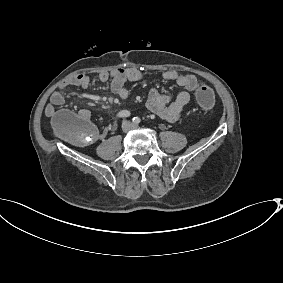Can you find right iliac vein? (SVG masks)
I'll return each mask as SVG.
<instances>
[{
  "label": "right iliac vein",
  "instance_id": "1",
  "mask_svg": "<svg viewBox=\"0 0 283 283\" xmlns=\"http://www.w3.org/2000/svg\"><path fill=\"white\" fill-rule=\"evenodd\" d=\"M130 128H131V125H130L129 122H127V121L123 122V124H122V131L123 132H125V133L128 132L130 130Z\"/></svg>",
  "mask_w": 283,
  "mask_h": 283
}]
</instances>
